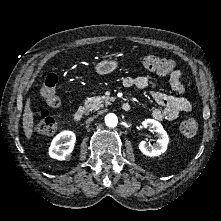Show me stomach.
<instances>
[{
    "label": "stomach",
    "instance_id": "0dacf381",
    "mask_svg": "<svg viewBox=\"0 0 221 221\" xmlns=\"http://www.w3.org/2000/svg\"><path fill=\"white\" fill-rule=\"evenodd\" d=\"M118 64L115 60H103L95 66V70L100 75H107L117 68Z\"/></svg>",
    "mask_w": 221,
    "mask_h": 221
}]
</instances>
